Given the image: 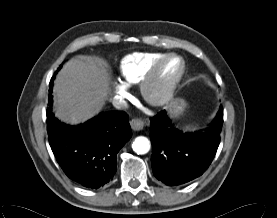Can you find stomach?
<instances>
[{
	"instance_id": "1",
	"label": "stomach",
	"mask_w": 277,
	"mask_h": 218,
	"mask_svg": "<svg viewBox=\"0 0 277 218\" xmlns=\"http://www.w3.org/2000/svg\"><path fill=\"white\" fill-rule=\"evenodd\" d=\"M186 107V103L182 99H176L168 106V112L171 117L176 118L180 116Z\"/></svg>"
}]
</instances>
